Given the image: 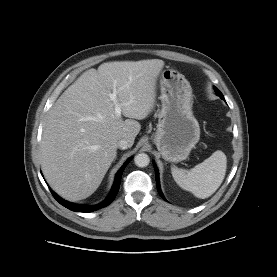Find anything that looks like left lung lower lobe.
Instances as JSON below:
<instances>
[{"label": "left lung lower lobe", "mask_w": 277, "mask_h": 277, "mask_svg": "<svg viewBox=\"0 0 277 277\" xmlns=\"http://www.w3.org/2000/svg\"><path fill=\"white\" fill-rule=\"evenodd\" d=\"M154 168H155V174H156V186H157V191L159 193V195L162 197V199L165 200L162 192H161V189H160V184H159V172H158V169L156 167V165H154Z\"/></svg>", "instance_id": "0a47b994"}]
</instances>
